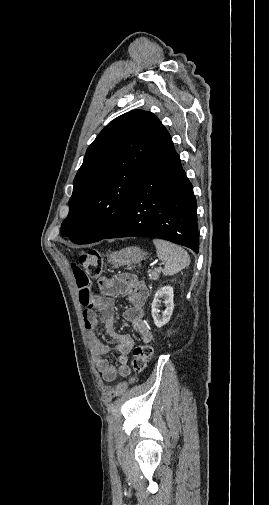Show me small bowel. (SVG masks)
Here are the masks:
<instances>
[{
    "mask_svg": "<svg viewBox=\"0 0 269 505\" xmlns=\"http://www.w3.org/2000/svg\"><path fill=\"white\" fill-rule=\"evenodd\" d=\"M71 271L74 273L75 285L79 290L80 303L86 307L83 311L84 327L87 332L90 349L96 368L107 382L130 373L128 365L129 355L134 347V340L128 334L116 332L114 327L115 310L114 297L123 296L128 300L129 306L123 313L124 319L131 324L144 343L151 342L153 336L144 320V304L148 296L147 286L138 281L133 274H120L114 277H102L92 281L85 268H80L77 260L70 262ZM98 282L102 295H93L90 283ZM97 312H100L98 316ZM101 322L108 335L116 342L115 349L119 352L118 365L114 366L105 355L111 347L104 344L97 336L96 328Z\"/></svg>",
    "mask_w": 269,
    "mask_h": 505,
    "instance_id": "obj_1",
    "label": "small bowel"
}]
</instances>
